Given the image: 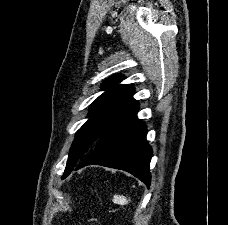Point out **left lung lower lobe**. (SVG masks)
Wrapping results in <instances>:
<instances>
[{"mask_svg": "<svg viewBox=\"0 0 228 225\" xmlns=\"http://www.w3.org/2000/svg\"><path fill=\"white\" fill-rule=\"evenodd\" d=\"M139 105L108 128L93 150L76 166L102 165L127 171L150 186L152 149L146 141L147 127L137 118Z\"/></svg>", "mask_w": 228, "mask_h": 225, "instance_id": "0a47b994", "label": "left lung lower lobe"}]
</instances>
